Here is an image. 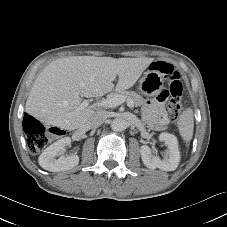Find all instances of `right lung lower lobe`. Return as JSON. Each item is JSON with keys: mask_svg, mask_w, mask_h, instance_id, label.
I'll use <instances>...</instances> for the list:
<instances>
[{"mask_svg": "<svg viewBox=\"0 0 227 227\" xmlns=\"http://www.w3.org/2000/svg\"><path fill=\"white\" fill-rule=\"evenodd\" d=\"M30 116L28 115V114H26L25 113V115H24V121H23V124H25L26 123V121H27V119L29 118Z\"/></svg>", "mask_w": 227, "mask_h": 227, "instance_id": "right-lung-lower-lobe-1", "label": "right lung lower lobe"}]
</instances>
